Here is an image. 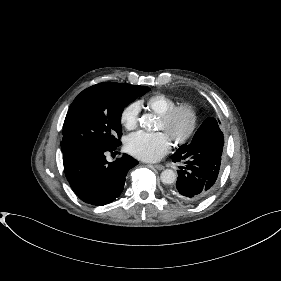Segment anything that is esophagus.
Masks as SVG:
<instances>
[{"label":"esophagus","mask_w":281,"mask_h":281,"mask_svg":"<svg viewBox=\"0 0 281 281\" xmlns=\"http://www.w3.org/2000/svg\"><path fill=\"white\" fill-rule=\"evenodd\" d=\"M153 167L156 168L157 170H163L165 168L163 165L160 164H156Z\"/></svg>","instance_id":"1"}]
</instances>
